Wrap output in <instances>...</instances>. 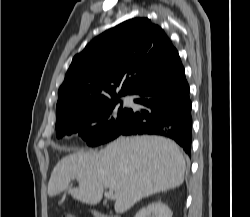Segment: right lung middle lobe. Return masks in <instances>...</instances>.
<instances>
[{
	"label": "right lung middle lobe",
	"mask_w": 250,
	"mask_h": 217,
	"mask_svg": "<svg viewBox=\"0 0 250 217\" xmlns=\"http://www.w3.org/2000/svg\"><path fill=\"white\" fill-rule=\"evenodd\" d=\"M118 99L109 100L77 111L56 122V135L78 134L89 146H97L115 139L128 124L132 109L118 106Z\"/></svg>",
	"instance_id": "obj_1"
}]
</instances>
